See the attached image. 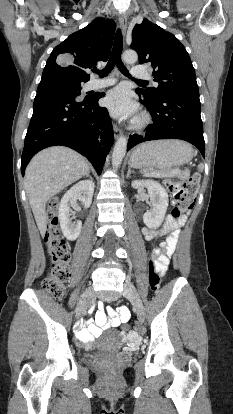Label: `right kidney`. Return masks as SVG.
Here are the masks:
<instances>
[{
	"label": "right kidney",
	"instance_id": "1",
	"mask_svg": "<svg viewBox=\"0 0 233 414\" xmlns=\"http://www.w3.org/2000/svg\"><path fill=\"white\" fill-rule=\"evenodd\" d=\"M93 180H83L72 186L62 197L59 205V222L63 235L70 241L78 238L82 222L80 220L72 221L70 218V206L76 205L79 199L85 208L90 207L94 193Z\"/></svg>",
	"mask_w": 233,
	"mask_h": 414
}]
</instances>
